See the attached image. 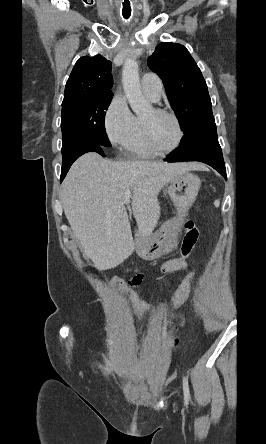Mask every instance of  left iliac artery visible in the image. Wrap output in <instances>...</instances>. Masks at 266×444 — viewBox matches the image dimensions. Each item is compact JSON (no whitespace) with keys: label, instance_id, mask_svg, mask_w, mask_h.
I'll list each match as a JSON object with an SVG mask.
<instances>
[{"label":"left iliac artery","instance_id":"obj_1","mask_svg":"<svg viewBox=\"0 0 266 444\" xmlns=\"http://www.w3.org/2000/svg\"><path fill=\"white\" fill-rule=\"evenodd\" d=\"M183 392H184V398L187 402L190 401V390H189V384L188 379L186 377H183Z\"/></svg>","mask_w":266,"mask_h":444}]
</instances>
